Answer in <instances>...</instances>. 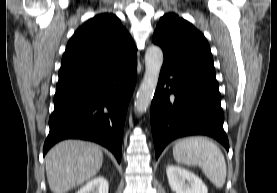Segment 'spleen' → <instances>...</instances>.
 Segmentation results:
<instances>
[{"label":"spleen","mask_w":277,"mask_h":193,"mask_svg":"<svg viewBox=\"0 0 277 193\" xmlns=\"http://www.w3.org/2000/svg\"><path fill=\"white\" fill-rule=\"evenodd\" d=\"M176 162L188 166H199L216 188L225 184L227 166L220 148L202 136L178 140L173 147Z\"/></svg>","instance_id":"obj_1"}]
</instances>
